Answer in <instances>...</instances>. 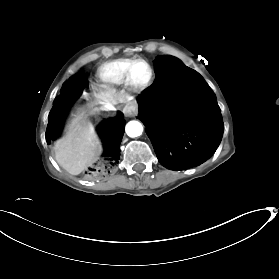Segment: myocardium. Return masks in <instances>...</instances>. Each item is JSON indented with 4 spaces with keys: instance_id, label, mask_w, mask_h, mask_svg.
Segmentation results:
<instances>
[{
    "instance_id": "obj_1",
    "label": "myocardium",
    "mask_w": 279,
    "mask_h": 279,
    "mask_svg": "<svg viewBox=\"0 0 279 279\" xmlns=\"http://www.w3.org/2000/svg\"><path fill=\"white\" fill-rule=\"evenodd\" d=\"M137 63H144L149 70V75L146 81L138 83L133 79V68ZM154 80V70L152 65L145 59L136 58L130 61V64L126 71V84L129 89L135 93H141L147 90L153 83Z\"/></svg>"
}]
</instances>
